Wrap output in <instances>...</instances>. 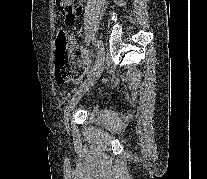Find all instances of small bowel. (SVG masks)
<instances>
[{"instance_id": "c3829d8e", "label": "small bowel", "mask_w": 207, "mask_h": 179, "mask_svg": "<svg viewBox=\"0 0 207 179\" xmlns=\"http://www.w3.org/2000/svg\"><path fill=\"white\" fill-rule=\"evenodd\" d=\"M82 12H83V8H82L81 5L75 7V8H74V11H73V14H72L71 23H73V22H74V19H75L76 17L80 16V15L82 14ZM71 45H72V48H73L74 50H77V49H78V46H77V44H76V42H75V39H72V40H71Z\"/></svg>"}]
</instances>
